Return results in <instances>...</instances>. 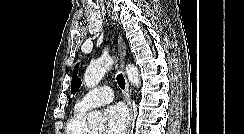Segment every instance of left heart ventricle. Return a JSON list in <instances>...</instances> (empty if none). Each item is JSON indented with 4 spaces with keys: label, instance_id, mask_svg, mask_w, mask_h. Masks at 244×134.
<instances>
[{
    "label": "left heart ventricle",
    "instance_id": "obj_1",
    "mask_svg": "<svg viewBox=\"0 0 244 134\" xmlns=\"http://www.w3.org/2000/svg\"><path fill=\"white\" fill-rule=\"evenodd\" d=\"M93 134H103V132L100 130V131L94 132Z\"/></svg>",
    "mask_w": 244,
    "mask_h": 134
}]
</instances>
